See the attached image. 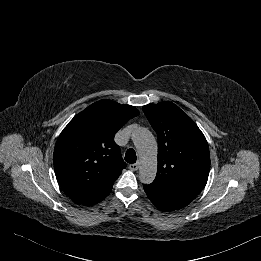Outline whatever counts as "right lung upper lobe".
Instances as JSON below:
<instances>
[{
    "mask_svg": "<svg viewBox=\"0 0 261 261\" xmlns=\"http://www.w3.org/2000/svg\"><path fill=\"white\" fill-rule=\"evenodd\" d=\"M139 115L130 105L100 100L77 114L61 132L53 154L56 178L78 204L102 201L126 167L116 132Z\"/></svg>",
    "mask_w": 261,
    "mask_h": 261,
    "instance_id": "cb5924a9",
    "label": "right lung upper lobe"
}]
</instances>
